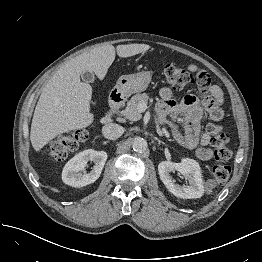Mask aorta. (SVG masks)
<instances>
[{"label":"aorta","mask_w":262,"mask_h":262,"mask_svg":"<svg viewBox=\"0 0 262 262\" xmlns=\"http://www.w3.org/2000/svg\"><path fill=\"white\" fill-rule=\"evenodd\" d=\"M133 150L138 153H143L147 150L148 144L144 138L136 137L132 144Z\"/></svg>","instance_id":"obj_1"}]
</instances>
